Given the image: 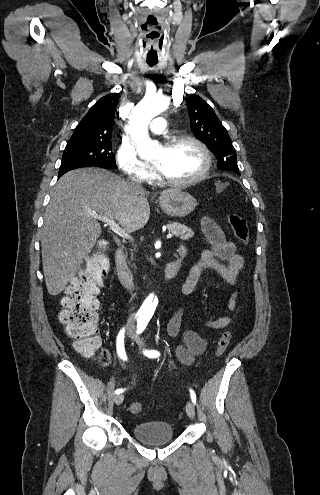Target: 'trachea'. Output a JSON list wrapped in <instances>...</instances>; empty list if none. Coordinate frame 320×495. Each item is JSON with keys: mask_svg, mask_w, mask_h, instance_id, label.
<instances>
[{"mask_svg": "<svg viewBox=\"0 0 320 495\" xmlns=\"http://www.w3.org/2000/svg\"><path fill=\"white\" fill-rule=\"evenodd\" d=\"M148 64L149 65H154V64H156V62L155 61H148Z\"/></svg>", "mask_w": 320, "mask_h": 495, "instance_id": "obj_1", "label": "trachea"}]
</instances>
